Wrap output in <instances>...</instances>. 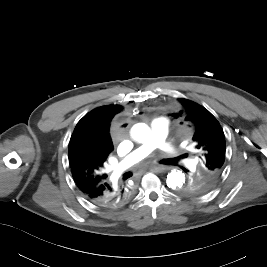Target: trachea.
I'll use <instances>...</instances> for the list:
<instances>
[{
	"mask_svg": "<svg viewBox=\"0 0 267 267\" xmlns=\"http://www.w3.org/2000/svg\"><path fill=\"white\" fill-rule=\"evenodd\" d=\"M176 162H177L176 159H167V160H165V163H167V164H175Z\"/></svg>",
	"mask_w": 267,
	"mask_h": 267,
	"instance_id": "3493384b",
	"label": "trachea"
}]
</instances>
